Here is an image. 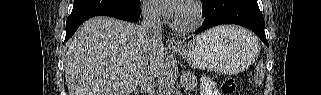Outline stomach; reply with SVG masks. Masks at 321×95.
Returning a JSON list of instances; mask_svg holds the SVG:
<instances>
[{"mask_svg":"<svg viewBox=\"0 0 321 95\" xmlns=\"http://www.w3.org/2000/svg\"><path fill=\"white\" fill-rule=\"evenodd\" d=\"M174 51L196 68L233 74L254 62L259 44L250 32L227 27L224 31L209 30Z\"/></svg>","mask_w":321,"mask_h":95,"instance_id":"stomach-1","label":"stomach"}]
</instances>
